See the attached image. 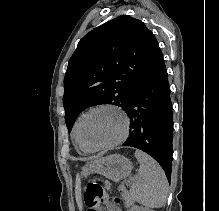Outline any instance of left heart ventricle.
<instances>
[{"instance_id": "b2bd125f", "label": "left heart ventricle", "mask_w": 219, "mask_h": 211, "mask_svg": "<svg viewBox=\"0 0 219 211\" xmlns=\"http://www.w3.org/2000/svg\"><path fill=\"white\" fill-rule=\"evenodd\" d=\"M122 116L112 109H99L88 115L82 137L88 146H99L117 139L123 130Z\"/></svg>"}]
</instances>
